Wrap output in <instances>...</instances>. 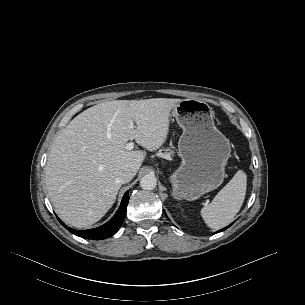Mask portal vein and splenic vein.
<instances>
[{
  "label": "portal vein and splenic vein",
  "mask_w": 305,
  "mask_h": 305,
  "mask_svg": "<svg viewBox=\"0 0 305 305\" xmlns=\"http://www.w3.org/2000/svg\"><path fill=\"white\" fill-rule=\"evenodd\" d=\"M133 124H131V128H133ZM127 150H132L134 148V143L133 142H129L126 144V147H125ZM206 204H208V201H206Z\"/></svg>",
  "instance_id": "obj_1"
}]
</instances>
